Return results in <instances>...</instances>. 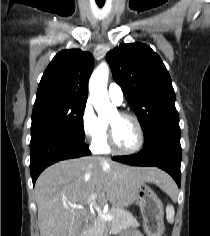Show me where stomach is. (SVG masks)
Returning a JSON list of instances; mask_svg holds the SVG:
<instances>
[{
    "mask_svg": "<svg viewBox=\"0 0 210 236\" xmlns=\"http://www.w3.org/2000/svg\"><path fill=\"white\" fill-rule=\"evenodd\" d=\"M134 202L140 207L143 229L147 236H162L165 230L163 205L146 183L140 184L134 194Z\"/></svg>",
    "mask_w": 210,
    "mask_h": 236,
    "instance_id": "obj_1",
    "label": "stomach"
}]
</instances>
